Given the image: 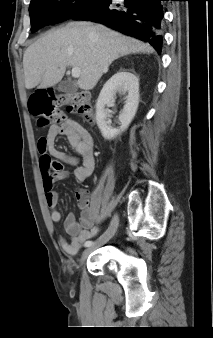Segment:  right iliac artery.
<instances>
[{
	"label": "right iliac artery",
	"mask_w": 213,
	"mask_h": 338,
	"mask_svg": "<svg viewBox=\"0 0 213 338\" xmlns=\"http://www.w3.org/2000/svg\"><path fill=\"white\" fill-rule=\"evenodd\" d=\"M93 244H94L93 241L88 240V241L85 242L84 246H85V247H90V246H92Z\"/></svg>",
	"instance_id": "obj_1"
}]
</instances>
